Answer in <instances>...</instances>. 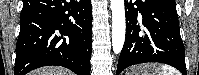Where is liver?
<instances>
[{
  "label": "liver",
  "instance_id": "liver-1",
  "mask_svg": "<svg viewBox=\"0 0 199 75\" xmlns=\"http://www.w3.org/2000/svg\"><path fill=\"white\" fill-rule=\"evenodd\" d=\"M29 75H73V73L64 68L52 66L32 71Z\"/></svg>",
  "mask_w": 199,
  "mask_h": 75
}]
</instances>
